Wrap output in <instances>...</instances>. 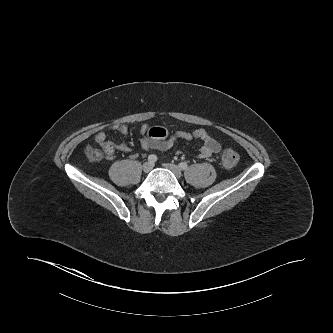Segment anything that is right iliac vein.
Returning <instances> with one entry per match:
<instances>
[{
    "mask_svg": "<svg viewBox=\"0 0 333 333\" xmlns=\"http://www.w3.org/2000/svg\"><path fill=\"white\" fill-rule=\"evenodd\" d=\"M153 166H154L153 163L148 161L143 164L142 169L145 173H148L152 170Z\"/></svg>",
    "mask_w": 333,
    "mask_h": 333,
    "instance_id": "right-iliac-vein-1",
    "label": "right iliac vein"
}]
</instances>
